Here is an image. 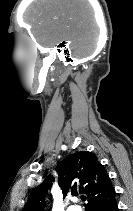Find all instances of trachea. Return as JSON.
Returning <instances> with one entry per match:
<instances>
[{"instance_id": "trachea-1", "label": "trachea", "mask_w": 133, "mask_h": 211, "mask_svg": "<svg viewBox=\"0 0 133 211\" xmlns=\"http://www.w3.org/2000/svg\"><path fill=\"white\" fill-rule=\"evenodd\" d=\"M81 199H82V200H85V199H86V197H85V196H81Z\"/></svg>"}]
</instances>
